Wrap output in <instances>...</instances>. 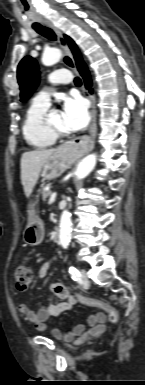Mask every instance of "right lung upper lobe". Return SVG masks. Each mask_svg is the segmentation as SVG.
<instances>
[{"mask_svg":"<svg viewBox=\"0 0 145 385\" xmlns=\"http://www.w3.org/2000/svg\"><path fill=\"white\" fill-rule=\"evenodd\" d=\"M65 39H66V41H67L69 47L71 48V50H72V52H73V54H74L75 61H76V64H77V67H79V66H81L82 64H84V62H83V60H82V58H81V56H80V54H79V52H78V49H77V47H76L74 41H73L70 37H68V36H66V35H65Z\"/></svg>","mask_w":145,"mask_h":385,"instance_id":"cb5924a9","label":"right lung upper lobe"}]
</instances>
